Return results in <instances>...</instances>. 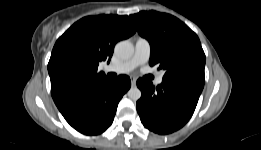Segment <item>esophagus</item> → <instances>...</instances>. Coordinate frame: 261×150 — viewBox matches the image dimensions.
Returning <instances> with one entry per match:
<instances>
[{
    "label": "esophagus",
    "mask_w": 261,
    "mask_h": 150,
    "mask_svg": "<svg viewBox=\"0 0 261 150\" xmlns=\"http://www.w3.org/2000/svg\"><path fill=\"white\" fill-rule=\"evenodd\" d=\"M131 85L133 87L136 85V79L135 78H131Z\"/></svg>",
    "instance_id": "1"
}]
</instances>
